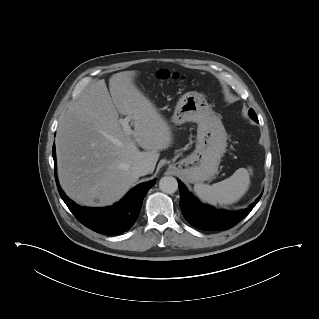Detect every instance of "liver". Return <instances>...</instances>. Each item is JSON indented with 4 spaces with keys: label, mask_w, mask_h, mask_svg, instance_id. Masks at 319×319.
<instances>
[{
    "label": "liver",
    "mask_w": 319,
    "mask_h": 319,
    "mask_svg": "<svg viewBox=\"0 0 319 319\" xmlns=\"http://www.w3.org/2000/svg\"><path fill=\"white\" fill-rule=\"evenodd\" d=\"M136 71H123L92 84L58 124L56 154L62 189L85 206L118 201L140 176L131 167L155 169L159 151L172 143V131L155 105L135 85ZM111 94V95H110ZM119 114L131 117L127 135ZM136 143L145 151H140Z\"/></svg>",
    "instance_id": "1"
}]
</instances>
